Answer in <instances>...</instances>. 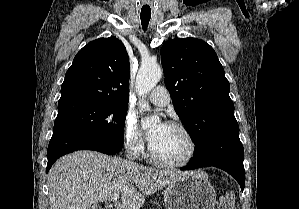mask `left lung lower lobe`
Segmentation results:
<instances>
[{"label": "left lung lower lobe", "mask_w": 299, "mask_h": 209, "mask_svg": "<svg viewBox=\"0 0 299 209\" xmlns=\"http://www.w3.org/2000/svg\"><path fill=\"white\" fill-rule=\"evenodd\" d=\"M243 159L244 149L239 139V126L235 123L212 135L205 147L195 153L191 162L181 170L210 166L220 168L231 174L243 191L245 186Z\"/></svg>", "instance_id": "left-lung-lower-lobe-1"}]
</instances>
